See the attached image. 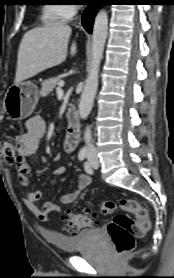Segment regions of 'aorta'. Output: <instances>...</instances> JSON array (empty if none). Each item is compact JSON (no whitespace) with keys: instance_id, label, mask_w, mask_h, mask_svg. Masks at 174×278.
<instances>
[{"instance_id":"762f6f07","label":"aorta","mask_w":174,"mask_h":278,"mask_svg":"<svg viewBox=\"0 0 174 278\" xmlns=\"http://www.w3.org/2000/svg\"><path fill=\"white\" fill-rule=\"evenodd\" d=\"M107 36L108 14L105 10H100L95 17L93 26L91 65L79 102V116L82 119H86L89 116L93 107L95 94L98 88L100 63L103 57Z\"/></svg>"}]
</instances>
